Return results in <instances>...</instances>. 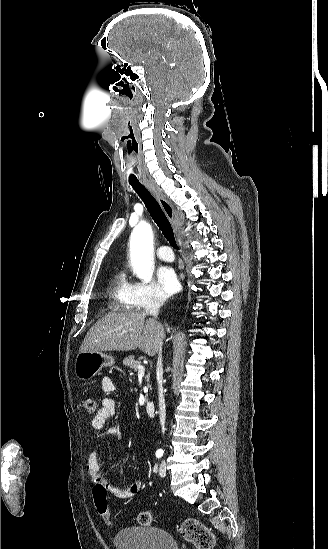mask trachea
Returning <instances> with one entry per match:
<instances>
[{
  "label": "trachea",
  "mask_w": 328,
  "mask_h": 549,
  "mask_svg": "<svg viewBox=\"0 0 328 549\" xmlns=\"http://www.w3.org/2000/svg\"><path fill=\"white\" fill-rule=\"evenodd\" d=\"M129 183L142 199V202L145 204L147 211L161 230L165 239L168 240V242L172 247H174V249L179 250V247L175 240L173 228L157 200H155L153 195H151L150 192H148L147 188H145L144 185H142L138 180H131L129 181Z\"/></svg>",
  "instance_id": "trachea-1"
}]
</instances>
